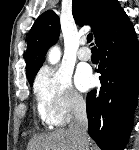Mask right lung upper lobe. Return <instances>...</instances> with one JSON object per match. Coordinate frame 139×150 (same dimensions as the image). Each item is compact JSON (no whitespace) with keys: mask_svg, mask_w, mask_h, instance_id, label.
I'll list each match as a JSON object with an SVG mask.
<instances>
[{"mask_svg":"<svg viewBox=\"0 0 139 150\" xmlns=\"http://www.w3.org/2000/svg\"><path fill=\"white\" fill-rule=\"evenodd\" d=\"M123 11L118 0H73V16L80 25H91L97 43L101 34ZM60 33L57 14L48 10L33 24L28 36L26 72L29 82L42 66L47 49L53 45Z\"/></svg>","mask_w":139,"mask_h":150,"instance_id":"cb5924a9","label":"right lung upper lobe"}]
</instances>
